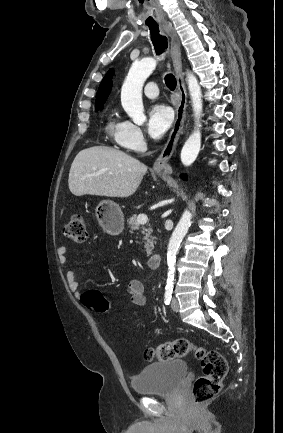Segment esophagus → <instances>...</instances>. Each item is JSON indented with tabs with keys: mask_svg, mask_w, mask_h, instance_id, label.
<instances>
[{
	"mask_svg": "<svg viewBox=\"0 0 283 433\" xmlns=\"http://www.w3.org/2000/svg\"><path fill=\"white\" fill-rule=\"evenodd\" d=\"M162 26L171 39L170 52L180 94V101L176 109V116L169 138L161 154L153 165L154 172L167 174L172 172V168L169 165V160L177 146L186 119L187 92L182 71L180 40L170 22L163 23Z\"/></svg>",
	"mask_w": 283,
	"mask_h": 433,
	"instance_id": "1",
	"label": "esophagus"
}]
</instances>
